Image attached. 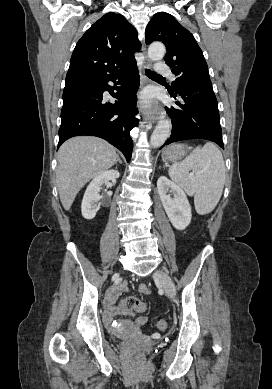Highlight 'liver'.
I'll use <instances>...</instances> for the list:
<instances>
[{
  "instance_id": "obj_1",
  "label": "liver",
  "mask_w": 272,
  "mask_h": 389,
  "mask_svg": "<svg viewBox=\"0 0 272 389\" xmlns=\"http://www.w3.org/2000/svg\"><path fill=\"white\" fill-rule=\"evenodd\" d=\"M117 156L112 145L97 137H74L63 143L58 151L56 181L65 210L71 208L87 182L115 164Z\"/></svg>"
}]
</instances>
